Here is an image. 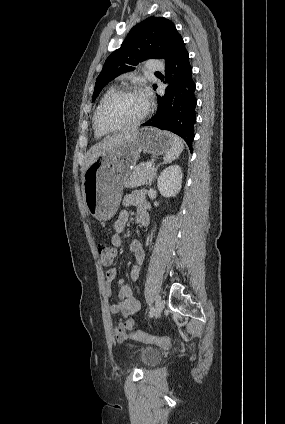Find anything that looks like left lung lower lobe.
I'll use <instances>...</instances> for the list:
<instances>
[{
  "label": "left lung lower lobe",
  "mask_w": 285,
  "mask_h": 424,
  "mask_svg": "<svg viewBox=\"0 0 285 424\" xmlns=\"http://www.w3.org/2000/svg\"><path fill=\"white\" fill-rule=\"evenodd\" d=\"M165 82H170L165 95L158 97L156 114L144 126H154L169 130L182 137L192 152L194 139L193 127L196 121L195 83L192 79V67L182 37L177 39L167 59Z\"/></svg>",
  "instance_id": "left-lung-lower-lobe-1"
}]
</instances>
